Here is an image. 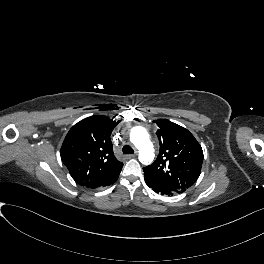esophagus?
Masks as SVG:
<instances>
[{
    "label": "esophagus",
    "instance_id": "obj_1",
    "mask_svg": "<svg viewBox=\"0 0 264 264\" xmlns=\"http://www.w3.org/2000/svg\"><path fill=\"white\" fill-rule=\"evenodd\" d=\"M134 157H136V154H128V155H126V158H128V159H131V158H134Z\"/></svg>",
    "mask_w": 264,
    "mask_h": 264
}]
</instances>
